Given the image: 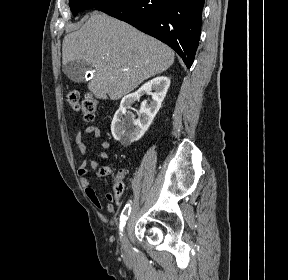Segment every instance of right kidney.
<instances>
[{"instance_id": "obj_1", "label": "right kidney", "mask_w": 288, "mask_h": 280, "mask_svg": "<svg viewBox=\"0 0 288 280\" xmlns=\"http://www.w3.org/2000/svg\"><path fill=\"white\" fill-rule=\"evenodd\" d=\"M169 86L170 79L160 76L142 85L135 93L125 96L121 100L120 107L115 113L111 124V132L114 139L124 145H129L139 140L148 130L159 111ZM145 94H151L152 101L150 104H147V102L141 104L138 111L139 117L136 119L128 110L135 101Z\"/></svg>"}]
</instances>
